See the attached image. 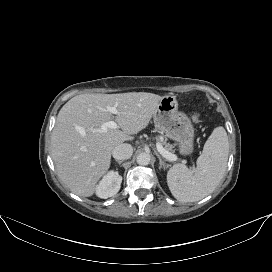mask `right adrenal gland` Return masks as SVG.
<instances>
[{
	"label": "right adrenal gland",
	"instance_id": "2a0ac1e0",
	"mask_svg": "<svg viewBox=\"0 0 272 272\" xmlns=\"http://www.w3.org/2000/svg\"><path fill=\"white\" fill-rule=\"evenodd\" d=\"M123 161H118L119 164H121Z\"/></svg>",
	"mask_w": 272,
	"mask_h": 272
}]
</instances>
